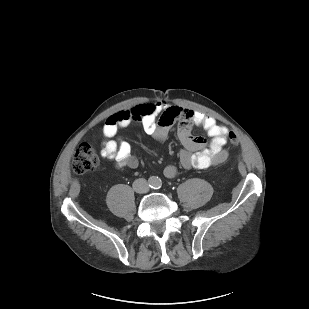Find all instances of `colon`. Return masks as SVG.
<instances>
[{"label":"colon","mask_w":309,"mask_h":309,"mask_svg":"<svg viewBox=\"0 0 309 309\" xmlns=\"http://www.w3.org/2000/svg\"><path fill=\"white\" fill-rule=\"evenodd\" d=\"M231 144L238 143V137L234 132L229 133ZM100 165V157L94 145L83 143L75 151L72 158V170L77 174L93 172Z\"/></svg>","instance_id":"obj_1"}]
</instances>
